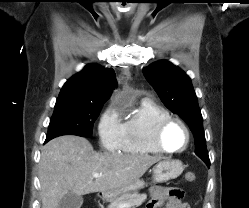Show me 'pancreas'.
<instances>
[{
	"mask_svg": "<svg viewBox=\"0 0 249 208\" xmlns=\"http://www.w3.org/2000/svg\"><path fill=\"white\" fill-rule=\"evenodd\" d=\"M147 198L146 194H140L138 192L125 193L114 200L110 201L108 208H122L126 205V208H136L140 206Z\"/></svg>",
	"mask_w": 249,
	"mask_h": 208,
	"instance_id": "obj_1",
	"label": "pancreas"
}]
</instances>
